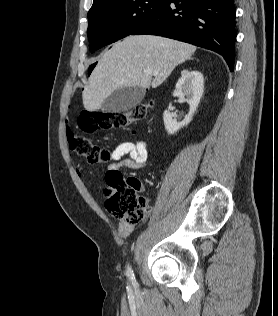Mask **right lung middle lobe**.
Returning <instances> with one entry per match:
<instances>
[{
	"label": "right lung middle lobe",
	"mask_w": 278,
	"mask_h": 316,
	"mask_svg": "<svg viewBox=\"0 0 278 316\" xmlns=\"http://www.w3.org/2000/svg\"><path fill=\"white\" fill-rule=\"evenodd\" d=\"M164 1L108 0L92 7L88 13L87 31L90 51L131 35L158 11Z\"/></svg>",
	"instance_id": "1"
}]
</instances>
